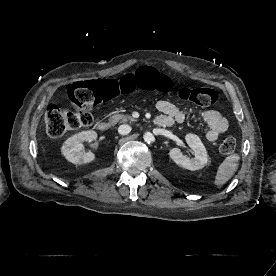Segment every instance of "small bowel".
Returning <instances> with one entry per match:
<instances>
[{
  "label": "small bowel",
  "mask_w": 276,
  "mask_h": 276,
  "mask_svg": "<svg viewBox=\"0 0 276 276\" xmlns=\"http://www.w3.org/2000/svg\"><path fill=\"white\" fill-rule=\"evenodd\" d=\"M157 109L162 113L159 117L164 119L166 126H171L175 123H184L187 117V111L180 109L175 104L169 101H159ZM202 120L209 126L206 133V138L210 142H214L218 137L228 129L227 119L217 110L210 109L200 112Z\"/></svg>",
  "instance_id": "obj_1"
}]
</instances>
